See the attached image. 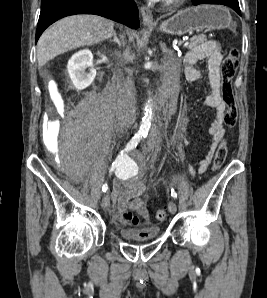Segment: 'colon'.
<instances>
[{"label": "colon", "mask_w": 267, "mask_h": 298, "mask_svg": "<svg viewBox=\"0 0 267 298\" xmlns=\"http://www.w3.org/2000/svg\"><path fill=\"white\" fill-rule=\"evenodd\" d=\"M239 63V53L236 49H232L226 55L222 66H221V91H222V98L226 104V123L228 126H233L236 122L237 112H236V105H235V96L232 88V80L235 76L237 67ZM52 121V118H50ZM228 153V148L226 141H221L217 147L212 169L214 171L220 169L224 164ZM166 218V211L164 209H158L156 211V219L158 221H163ZM123 220L131 225H136L139 222L138 217L130 211H125L123 213Z\"/></svg>", "instance_id": "colon-1"}]
</instances>
